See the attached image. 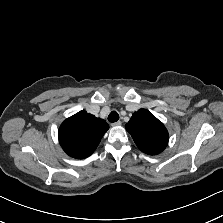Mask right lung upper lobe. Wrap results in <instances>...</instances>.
<instances>
[{
  "label": "right lung upper lobe",
  "instance_id": "1",
  "mask_svg": "<svg viewBox=\"0 0 223 223\" xmlns=\"http://www.w3.org/2000/svg\"><path fill=\"white\" fill-rule=\"evenodd\" d=\"M108 129L109 125L105 120L80 111L62 123L59 128V142L69 156L83 159L94 152Z\"/></svg>",
  "mask_w": 223,
  "mask_h": 223
}]
</instances>
